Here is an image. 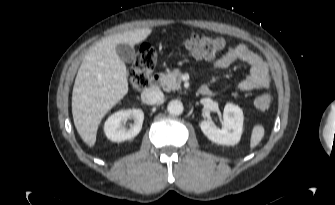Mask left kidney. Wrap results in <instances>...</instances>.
Listing matches in <instances>:
<instances>
[{
    "mask_svg": "<svg viewBox=\"0 0 335 205\" xmlns=\"http://www.w3.org/2000/svg\"><path fill=\"white\" fill-rule=\"evenodd\" d=\"M243 111L237 105L227 103L223 111V126L221 129L212 126L209 120L200 123L205 136L214 143L235 145L240 141L243 131Z\"/></svg>",
    "mask_w": 335,
    "mask_h": 205,
    "instance_id": "left-kidney-1",
    "label": "left kidney"
}]
</instances>
